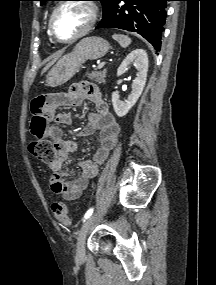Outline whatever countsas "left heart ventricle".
Here are the masks:
<instances>
[{"mask_svg": "<svg viewBox=\"0 0 216 285\" xmlns=\"http://www.w3.org/2000/svg\"><path fill=\"white\" fill-rule=\"evenodd\" d=\"M90 11L81 4H69L62 7L53 22L54 32L61 39L78 34L89 22Z\"/></svg>", "mask_w": 216, "mask_h": 285, "instance_id": "1", "label": "left heart ventricle"}]
</instances>
